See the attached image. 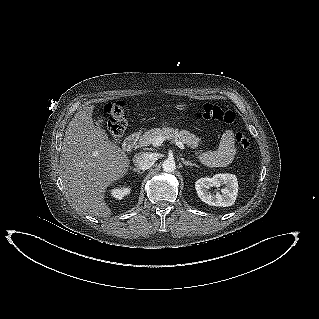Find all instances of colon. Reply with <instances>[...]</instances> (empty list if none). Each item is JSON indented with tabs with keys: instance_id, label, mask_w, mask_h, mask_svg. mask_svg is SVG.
<instances>
[{
	"instance_id": "obj_1",
	"label": "colon",
	"mask_w": 319,
	"mask_h": 319,
	"mask_svg": "<svg viewBox=\"0 0 319 319\" xmlns=\"http://www.w3.org/2000/svg\"><path fill=\"white\" fill-rule=\"evenodd\" d=\"M104 112L108 116V130L114 139H119L125 132L127 127L126 104L124 101H116L108 103L104 106ZM195 116L199 119L214 120L231 125L235 121V114L230 110H225L218 105L204 104ZM235 142L246 152L252 150V144L248 136L243 132L235 135Z\"/></svg>"
}]
</instances>
